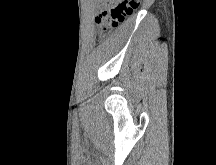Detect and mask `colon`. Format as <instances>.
Listing matches in <instances>:
<instances>
[{"mask_svg": "<svg viewBox=\"0 0 216 165\" xmlns=\"http://www.w3.org/2000/svg\"><path fill=\"white\" fill-rule=\"evenodd\" d=\"M108 6L95 17L96 27L106 33L125 21L139 7L140 0H108Z\"/></svg>", "mask_w": 216, "mask_h": 165, "instance_id": "colon-1", "label": "colon"}]
</instances>
